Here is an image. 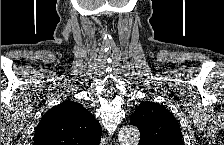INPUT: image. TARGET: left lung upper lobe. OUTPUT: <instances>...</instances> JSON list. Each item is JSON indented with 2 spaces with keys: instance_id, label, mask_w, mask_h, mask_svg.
<instances>
[{
  "instance_id": "obj_1",
  "label": "left lung upper lobe",
  "mask_w": 224,
  "mask_h": 145,
  "mask_svg": "<svg viewBox=\"0 0 224 145\" xmlns=\"http://www.w3.org/2000/svg\"><path fill=\"white\" fill-rule=\"evenodd\" d=\"M140 131V145H183L179 124L163 105L142 102L130 117Z\"/></svg>"
}]
</instances>
